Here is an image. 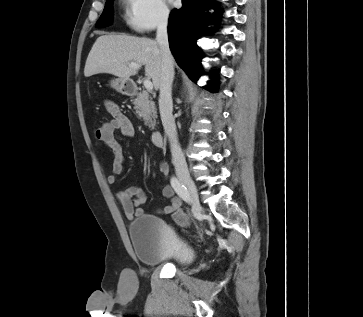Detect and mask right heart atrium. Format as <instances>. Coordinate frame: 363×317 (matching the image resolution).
<instances>
[{
    "label": "right heart atrium",
    "instance_id": "1",
    "mask_svg": "<svg viewBox=\"0 0 363 317\" xmlns=\"http://www.w3.org/2000/svg\"><path fill=\"white\" fill-rule=\"evenodd\" d=\"M127 24L138 33L165 26L170 17L165 0H125Z\"/></svg>",
    "mask_w": 363,
    "mask_h": 317
}]
</instances>
